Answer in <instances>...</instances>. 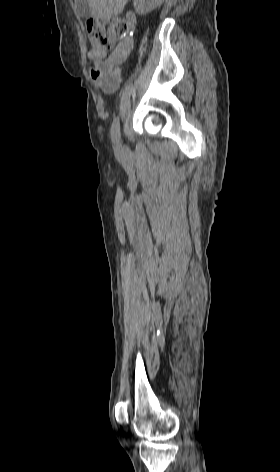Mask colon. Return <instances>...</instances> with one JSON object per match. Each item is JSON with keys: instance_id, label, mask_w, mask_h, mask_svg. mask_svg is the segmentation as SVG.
<instances>
[{"instance_id": "colon-1", "label": "colon", "mask_w": 280, "mask_h": 472, "mask_svg": "<svg viewBox=\"0 0 280 472\" xmlns=\"http://www.w3.org/2000/svg\"><path fill=\"white\" fill-rule=\"evenodd\" d=\"M131 29L130 21L124 19H116L108 23L89 19L86 23L88 38L94 48H110L117 38L129 35Z\"/></svg>"}]
</instances>
